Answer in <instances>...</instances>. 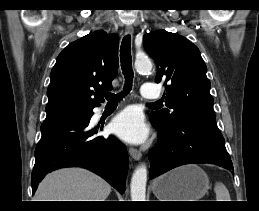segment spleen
<instances>
[{"mask_svg":"<svg viewBox=\"0 0 259 211\" xmlns=\"http://www.w3.org/2000/svg\"><path fill=\"white\" fill-rule=\"evenodd\" d=\"M214 191L217 201H231L229 191L223 183L217 182Z\"/></svg>","mask_w":259,"mask_h":211,"instance_id":"obj_1","label":"spleen"}]
</instances>
